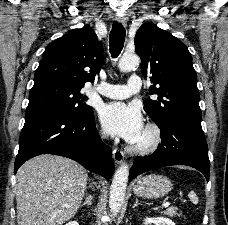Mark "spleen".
I'll list each match as a JSON object with an SVG mask.
<instances>
[{
  "mask_svg": "<svg viewBox=\"0 0 228 225\" xmlns=\"http://www.w3.org/2000/svg\"><path fill=\"white\" fill-rule=\"evenodd\" d=\"M188 197H189L190 201H192V203H194V205H197L198 197H197V195H195V193H193V191H191V193H189Z\"/></svg>",
  "mask_w": 228,
  "mask_h": 225,
  "instance_id": "1",
  "label": "spleen"
}]
</instances>
